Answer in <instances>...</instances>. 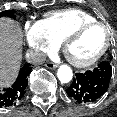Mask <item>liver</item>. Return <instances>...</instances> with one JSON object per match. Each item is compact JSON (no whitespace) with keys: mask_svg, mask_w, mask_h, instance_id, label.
Segmentation results:
<instances>
[{"mask_svg":"<svg viewBox=\"0 0 117 117\" xmlns=\"http://www.w3.org/2000/svg\"><path fill=\"white\" fill-rule=\"evenodd\" d=\"M23 32L14 20L0 18V87L10 86L22 58Z\"/></svg>","mask_w":117,"mask_h":117,"instance_id":"1","label":"liver"}]
</instances>
